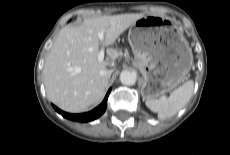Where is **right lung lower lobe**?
<instances>
[{"instance_id":"obj_1","label":"right lung lower lobe","mask_w":230,"mask_h":155,"mask_svg":"<svg viewBox=\"0 0 230 155\" xmlns=\"http://www.w3.org/2000/svg\"><path fill=\"white\" fill-rule=\"evenodd\" d=\"M111 91V88L108 90L103 102L96 107L95 109H93L90 112L87 113H82V114H70V113H66L61 111L60 109H58L56 106L53 105L54 109L60 113L63 117L73 120V121H78V122H89L92 121L98 117H100L106 110L107 107V99L109 96V93Z\"/></svg>"}]
</instances>
